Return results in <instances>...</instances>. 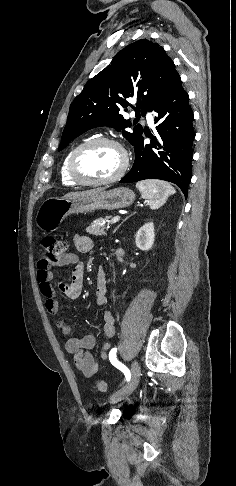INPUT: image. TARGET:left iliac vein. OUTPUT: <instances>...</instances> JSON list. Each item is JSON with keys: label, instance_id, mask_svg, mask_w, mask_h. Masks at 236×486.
<instances>
[{"label": "left iliac vein", "instance_id": "4c4485c4", "mask_svg": "<svg viewBox=\"0 0 236 486\" xmlns=\"http://www.w3.org/2000/svg\"><path fill=\"white\" fill-rule=\"evenodd\" d=\"M140 380V367L136 360H134L131 364V379L129 383L112 394L110 397L111 403H117L126 397H128L138 386Z\"/></svg>", "mask_w": 236, "mask_h": 486}]
</instances>
